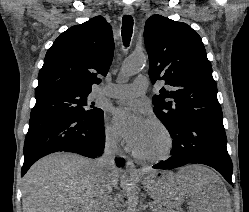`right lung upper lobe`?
Listing matches in <instances>:
<instances>
[{"label": "right lung upper lobe", "instance_id": "obj_1", "mask_svg": "<svg viewBox=\"0 0 249 212\" xmlns=\"http://www.w3.org/2000/svg\"><path fill=\"white\" fill-rule=\"evenodd\" d=\"M111 26L102 16L62 33L47 51L35 95L54 91L91 92L113 59Z\"/></svg>", "mask_w": 249, "mask_h": 212}]
</instances>
